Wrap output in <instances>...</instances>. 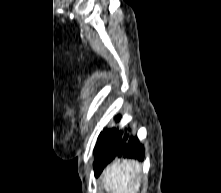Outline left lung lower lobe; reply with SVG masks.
I'll return each instance as SVG.
<instances>
[{
  "label": "left lung lower lobe",
  "mask_w": 221,
  "mask_h": 193,
  "mask_svg": "<svg viewBox=\"0 0 221 193\" xmlns=\"http://www.w3.org/2000/svg\"><path fill=\"white\" fill-rule=\"evenodd\" d=\"M120 121V116L115 117ZM116 157L144 159V146L140 143L137 136L123 133L118 128L105 130L95 146V175H100L103 169Z\"/></svg>",
  "instance_id": "left-lung-lower-lobe-1"
}]
</instances>
